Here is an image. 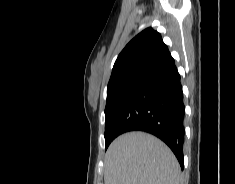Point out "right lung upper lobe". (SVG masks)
<instances>
[{
	"instance_id": "cb5924a9",
	"label": "right lung upper lobe",
	"mask_w": 235,
	"mask_h": 184,
	"mask_svg": "<svg viewBox=\"0 0 235 184\" xmlns=\"http://www.w3.org/2000/svg\"><path fill=\"white\" fill-rule=\"evenodd\" d=\"M170 56L168 47L157 31L152 28L143 30L119 54L112 69L107 91L122 86L131 78H143Z\"/></svg>"
}]
</instances>
